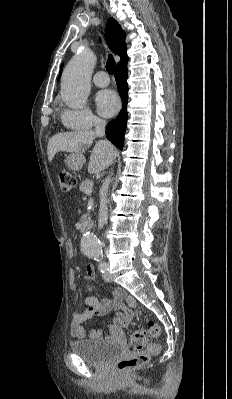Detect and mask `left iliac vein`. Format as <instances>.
Here are the masks:
<instances>
[{
  "mask_svg": "<svg viewBox=\"0 0 232 399\" xmlns=\"http://www.w3.org/2000/svg\"><path fill=\"white\" fill-rule=\"evenodd\" d=\"M103 281H105V283H112L111 275L108 272L104 273Z\"/></svg>",
  "mask_w": 232,
  "mask_h": 399,
  "instance_id": "obj_1",
  "label": "left iliac vein"
}]
</instances>
